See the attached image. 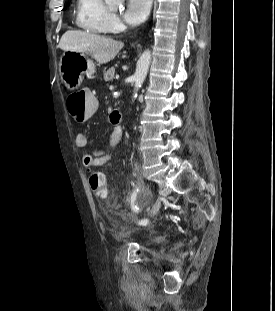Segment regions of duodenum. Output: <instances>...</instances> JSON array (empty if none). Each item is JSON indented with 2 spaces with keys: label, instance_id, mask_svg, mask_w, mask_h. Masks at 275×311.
Segmentation results:
<instances>
[{
  "label": "duodenum",
  "instance_id": "1",
  "mask_svg": "<svg viewBox=\"0 0 275 311\" xmlns=\"http://www.w3.org/2000/svg\"><path fill=\"white\" fill-rule=\"evenodd\" d=\"M114 113H119L118 111H112V113L111 114H114ZM120 114V113H119ZM121 116V115H120ZM120 119H121V117H120Z\"/></svg>",
  "mask_w": 275,
  "mask_h": 311
}]
</instances>
